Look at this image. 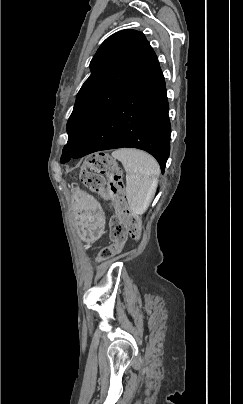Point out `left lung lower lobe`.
Instances as JSON below:
<instances>
[{
    "instance_id": "0a47b994",
    "label": "left lung lower lobe",
    "mask_w": 243,
    "mask_h": 404,
    "mask_svg": "<svg viewBox=\"0 0 243 404\" xmlns=\"http://www.w3.org/2000/svg\"><path fill=\"white\" fill-rule=\"evenodd\" d=\"M161 70L124 96L95 122L72 158L116 149L138 148L153 155L164 173L170 152L171 125Z\"/></svg>"
}]
</instances>
